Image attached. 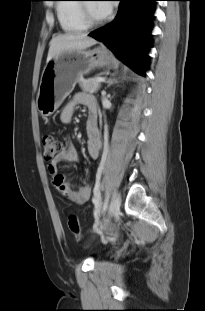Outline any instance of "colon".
<instances>
[{
    "label": "colon",
    "mask_w": 205,
    "mask_h": 311,
    "mask_svg": "<svg viewBox=\"0 0 205 311\" xmlns=\"http://www.w3.org/2000/svg\"><path fill=\"white\" fill-rule=\"evenodd\" d=\"M43 148L44 159L50 162L61 151V141L51 135H46L43 137ZM67 225L74 237L77 240H81L82 232L78 217L74 214L69 215Z\"/></svg>",
    "instance_id": "5ec220e1"
}]
</instances>
